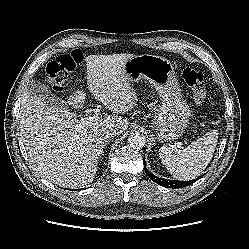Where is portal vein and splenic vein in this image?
<instances>
[{
	"label": "portal vein and splenic vein",
	"instance_id": "portal-vein-and-splenic-vein-1",
	"mask_svg": "<svg viewBox=\"0 0 249 249\" xmlns=\"http://www.w3.org/2000/svg\"><path fill=\"white\" fill-rule=\"evenodd\" d=\"M101 119V116L99 113H95V115L93 116H90V117H86V118H83L81 119L79 122H78V126L79 127H83V126H90L96 122H98L99 120Z\"/></svg>",
	"mask_w": 249,
	"mask_h": 249
}]
</instances>
